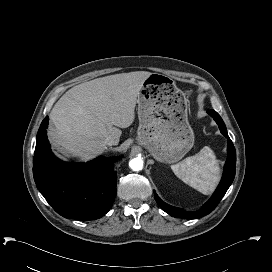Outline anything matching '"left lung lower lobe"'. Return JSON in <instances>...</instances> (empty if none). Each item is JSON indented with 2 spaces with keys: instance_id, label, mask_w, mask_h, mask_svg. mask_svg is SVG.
<instances>
[{
  "instance_id": "0a47b994",
  "label": "left lung lower lobe",
  "mask_w": 272,
  "mask_h": 272,
  "mask_svg": "<svg viewBox=\"0 0 272 272\" xmlns=\"http://www.w3.org/2000/svg\"><path fill=\"white\" fill-rule=\"evenodd\" d=\"M208 113L214 118L216 123L218 124L221 133L228 138V157L224 167V173L222 180L212 195V197L202 206L199 211L196 212H186L180 208H176L164 203L155 193L154 197L158 205L168 214L173 217L184 218V219H196L203 217L209 214L221 201L222 197L225 195L226 191L228 190L229 186L231 185L232 181L234 180L235 176V169H236V152L232 141L230 140L225 124L219 114L214 111L210 110Z\"/></svg>"
}]
</instances>
